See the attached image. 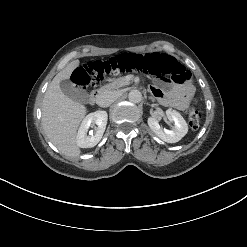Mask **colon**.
I'll return each instance as SVG.
<instances>
[{"instance_id": "colon-1", "label": "colon", "mask_w": 247, "mask_h": 247, "mask_svg": "<svg viewBox=\"0 0 247 247\" xmlns=\"http://www.w3.org/2000/svg\"><path fill=\"white\" fill-rule=\"evenodd\" d=\"M139 71L151 76L169 78L178 84H190L191 75L174 57L165 53L122 54L107 61H92L80 65L73 73V84L78 89L97 86L107 75ZM196 94L193 93V101ZM202 115L192 106L188 111L189 125L192 129L199 127Z\"/></svg>"}]
</instances>
